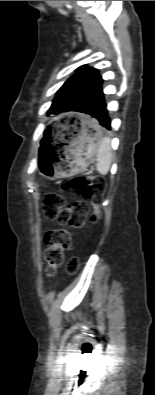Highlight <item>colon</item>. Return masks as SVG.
<instances>
[{
    "instance_id": "5ec220e1",
    "label": "colon",
    "mask_w": 155,
    "mask_h": 395,
    "mask_svg": "<svg viewBox=\"0 0 155 395\" xmlns=\"http://www.w3.org/2000/svg\"><path fill=\"white\" fill-rule=\"evenodd\" d=\"M65 189H73L83 200L66 203L63 196L49 192L42 198V212L46 219L57 220L63 227L50 230L45 235L47 248L43 257L46 262V273L53 276L64 262L65 252L71 247L70 229L83 227L89 215L90 206L94 208L91 220L99 219L98 207L106 190V181L100 176L79 175L64 184ZM79 262L70 260L68 270L76 273Z\"/></svg>"
}]
</instances>
